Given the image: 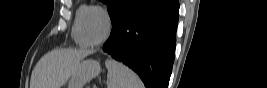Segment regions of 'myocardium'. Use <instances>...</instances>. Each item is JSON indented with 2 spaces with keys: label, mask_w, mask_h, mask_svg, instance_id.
<instances>
[{
  "label": "myocardium",
  "mask_w": 267,
  "mask_h": 88,
  "mask_svg": "<svg viewBox=\"0 0 267 88\" xmlns=\"http://www.w3.org/2000/svg\"><path fill=\"white\" fill-rule=\"evenodd\" d=\"M93 11H96V12L100 13L104 17L105 22H106L105 34L99 41H96V42L89 41L86 38V35H85V32H84V22H85L87 16L89 15V13L93 12ZM111 29H112V20H111L110 14L108 13V11L106 9H104L102 7L94 6L92 8H89L83 13V15L81 17L80 35H81L82 40L86 44V46H99V45H102L108 39V37H109V35L111 33Z\"/></svg>",
  "instance_id": "1"
}]
</instances>
